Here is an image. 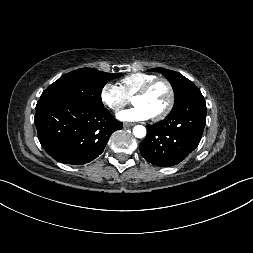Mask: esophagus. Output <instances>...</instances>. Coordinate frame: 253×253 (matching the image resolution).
Listing matches in <instances>:
<instances>
[{
  "label": "esophagus",
  "instance_id": "1",
  "mask_svg": "<svg viewBox=\"0 0 253 253\" xmlns=\"http://www.w3.org/2000/svg\"><path fill=\"white\" fill-rule=\"evenodd\" d=\"M133 125H134V123H130V122H124V123H123V126L126 127V128H127V127H131V126H133Z\"/></svg>",
  "mask_w": 253,
  "mask_h": 253
}]
</instances>
